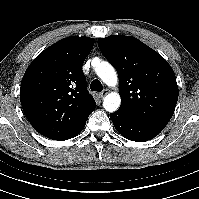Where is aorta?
I'll use <instances>...</instances> for the list:
<instances>
[{"label": "aorta", "mask_w": 199, "mask_h": 199, "mask_svg": "<svg viewBox=\"0 0 199 199\" xmlns=\"http://www.w3.org/2000/svg\"><path fill=\"white\" fill-rule=\"evenodd\" d=\"M95 72L97 76L110 87H114L117 84V74L113 66L106 62L102 61L97 63L95 66ZM121 104V98L119 93L111 92L107 94L103 101V107L108 112H115L118 110Z\"/></svg>", "instance_id": "1"}]
</instances>
